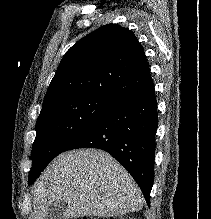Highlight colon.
<instances>
[{
	"label": "colon",
	"instance_id": "5ec220e1",
	"mask_svg": "<svg viewBox=\"0 0 211 219\" xmlns=\"http://www.w3.org/2000/svg\"><path fill=\"white\" fill-rule=\"evenodd\" d=\"M82 219H104V218H91V217H84Z\"/></svg>",
	"mask_w": 211,
	"mask_h": 219
}]
</instances>
